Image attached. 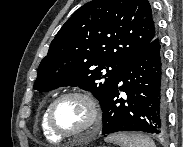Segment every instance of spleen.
<instances>
[{
	"mask_svg": "<svg viewBox=\"0 0 183 147\" xmlns=\"http://www.w3.org/2000/svg\"><path fill=\"white\" fill-rule=\"evenodd\" d=\"M105 140L116 143L120 147H156L151 138L138 133L120 132L106 137Z\"/></svg>",
	"mask_w": 183,
	"mask_h": 147,
	"instance_id": "3e777b00",
	"label": "spleen"
}]
</instances>
